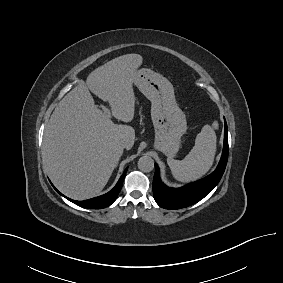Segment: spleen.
I'll return each instance as SVG.
<instances>
[{"instance_id": "obj_1", "label": "spleen", "mask_w": 283, "mask_h": 283, "mask_svg": "<svg viewBox=\"0 0 283 283\" xmlns=\"http://www.w3.org/2000/svg\"><path fill=\"white\" fill-rule=\"evenodd\" d=\"M218 123L205 125L197 134L195 145L183 160L167 159L174 178L180 182H190L201 178L212 167L216 153V133Z\"/></svg>"}]
</instances>
